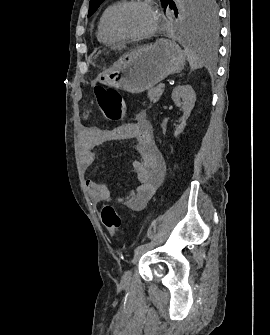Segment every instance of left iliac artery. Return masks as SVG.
I'll return each instance as SVG.
<instances>
[{
    "label": "left iliac artery",
    "instance_id": "left-iliac-artery-1",
    "mask_svg": "<svg viewBox=\"0 0 270 335\" xmlns=\"http://www.w3.org/2000/svg\"><path fill=\"white\" fill-rule=\"evenodd\" d=\"M154 244H155L154 242H150V243H146V244L139 245V246L135 249V253L138 252V251L147 250V249L153 247Z\"/></svg>",
    "mask_w": 270,
    "mask_h": 335
}]
</instances>
